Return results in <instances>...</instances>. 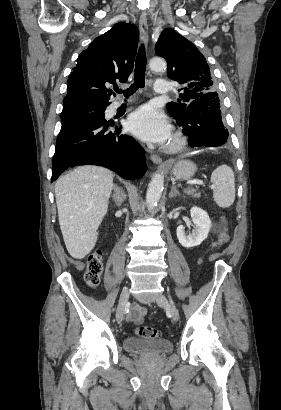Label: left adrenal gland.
<instances>
[{
	"instance_id": "obj_1",
	"label": "left adrenal gland",
	"mask_w": 281,
	"mask_h": 410,
	"mask_svg": "<svg viewBox=\"0 0 281 410\" xmlns=\"http://www.w3.org/2000/svg\"><path fill=\"white\" fill-rule=\"evenodd\" d=\"M174 196H180V193L177 190L176 186L172 185L171 192L169 193V198H173Z\"/></svg>"
}]
</instances>
